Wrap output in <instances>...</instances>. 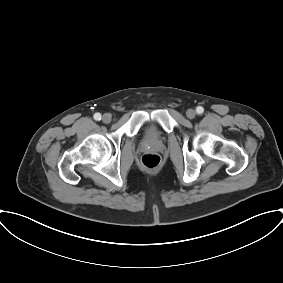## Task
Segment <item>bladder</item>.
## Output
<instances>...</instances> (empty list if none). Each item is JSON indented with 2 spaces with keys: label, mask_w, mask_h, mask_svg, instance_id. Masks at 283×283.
<instances>
[{
  "label": "bladder",
  "mask_w": 283,
  "mask_h": 283,
  "mask_svg": "<svg viewBox=\"0 0 283 283\" xmlns=\"http://www.w3.org/2000/svg\"><path fill=\"white\" fill-rule=\"evenodd\" d=\"M147 135H148V137H149V138H151V137H152V134H151V132H150V129H149V128L147 129Z\"/></svg>",
  "instance_id": "bladder-1"
}]
</instances>
